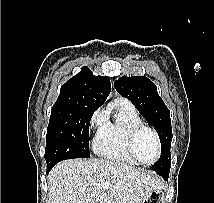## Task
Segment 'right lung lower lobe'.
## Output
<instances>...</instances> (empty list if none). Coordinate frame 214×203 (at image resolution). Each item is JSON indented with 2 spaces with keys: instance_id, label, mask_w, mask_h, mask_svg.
<instances>
[{
  "instance_id": "right-lung-lower-lobe-1",
  "label": "right lung lower lobe",
  "mask_w": 214,
  "mask_h": 203,
  "mask_svg": "<svg viewBox=\"0 0 214 203\" xmlns=\"http://www.w3.org/2000/svg\"><path fill=\"white\" fill-rule=\"evenodd\" d=\"M55 164L53 163H47V173H49V171L53 168Z\"/></svg>"
}]
</instances>
